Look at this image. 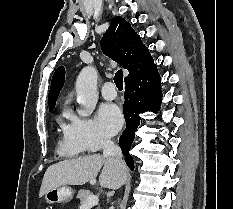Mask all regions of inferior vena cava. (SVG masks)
Returning a JSON list of instances; mask_svg holds the SVG:
<instances>
[{
    "label": "inferior vena cava",
    "mask_w": 233,
    "mask_h": 209,
    "mask_svg": "<svg viewBox=\"0 0 233 209\" xmlns=\"http://www.w3.org/2000/svg\"><path fill=\"white\" fill-rule=\"evenodd\" d=\"M101 146L103 149V156L108 159H114L119 164L123 165L122 152L119 146L114 144L113 141L109 139H103L101 141Z\"/></svg>",
    "instance_id": "inferior-vena-cava-1"
}]
</instances>
